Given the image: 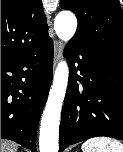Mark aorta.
Returning <instances> with one entry per match:
<instances>
[{
  "label": "aorta",
  "mask_w": 123,
  "mask_h": 152,
  "mask_svg": "<svg viewBox=\"0 0 123 152\" xmlns=\"http://www.w3.org/2000/svg\"><path fill=\"white\" fill-rule=\"evenodd\" d=\"M77 19L69 11L60 12L54 22L57 36L68 42L76 32ZM69 68L66 61H61L54 73L53 83L42 115L39 147L40 152H58L59 124L61 109L68 85Z\"/></svg>",
  "instance_id": "obj_1"
}]
</instances>
